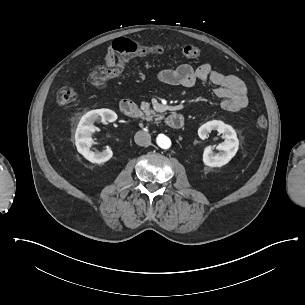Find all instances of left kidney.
<instances>
[{"label": "left kidney", "mask_w": 305, "mask_h": 305, "mask_svg": "<svg viewBox=\"0 0 305 305\" xmlns=\"http://www.w3.org/2000/svg\"><path fill=\"white\" fill-rule=\"evenodd\" d=\"M212 130L224 135V142L217 146L220 153L215 154L210 146L206 147L203 153V162L210 167H221L227 164L236 154L239 141L232 126L219 120H212L203 124L198 129V136L204 140L208 138Z\"/></svg>", "instance_id": "5707ae66"}]
</instances>
